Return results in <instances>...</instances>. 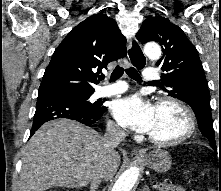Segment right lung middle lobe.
Returning a JSON list of instances; mask_svg holds the SVG:
<instances>
[{"label":"right lung middle lobe","mask_w":221,"mask_h":191,"mask_svg":"<svg viewBox=\"0 0 221 191\" xmlns=\"http://www.w3.org/2000/svg\"><path fill=\"white\" fill-rule=\"evenodd\" d=\"M72 92L79 100L82 102L88 109H97L100 105L98 102L90 103L87 100L89 97L94 93V90L92 91H69Z\"/></svg>","instance_id":"obj_1"}]
</instances>
